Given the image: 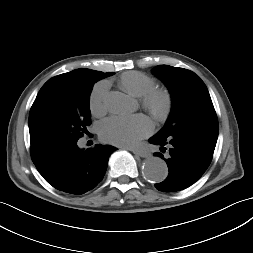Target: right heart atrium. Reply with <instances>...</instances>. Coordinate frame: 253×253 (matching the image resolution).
Masks as SVG:
<instances>
[{"instance_id": "right-heart-atrium-1", "label": "right heart atrium", "mask_w": 253, "mask_h": 253, "mask_svg": "<svg viewBox=\"0 0 253 253\" xmlns=\"http://www.w3.org/2000/svg\"><path fill=\"white\" fill-rule=\"evenodd\" d=\"M108 85L105 82L97 83L90 94L89 105L93 114H101L105 110V100Z\"/></svg>"}]
</instances>
